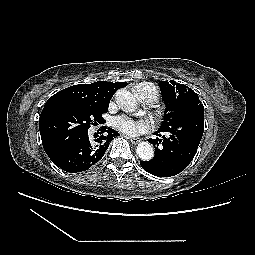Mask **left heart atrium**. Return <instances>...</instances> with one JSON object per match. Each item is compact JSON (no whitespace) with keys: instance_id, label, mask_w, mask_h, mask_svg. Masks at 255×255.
I'll use <instances>...</instances> for the list:
<instances>
[{"instance_id":"39dd6f15","label":"left heart atrium","mask_w":255,"mask_h":255,"mask_svg":"<svg viewBox=\"0 0 255 255\" xmlns=\"http://www.w3.org/2000/svg\"><path fill=\"white\" fill-rule=\"evenodd\" d=\"M113 126L129 135H139L148 132L152 127V122L148 119H133L122 115L114 118Z\"/></svg>"}]
</instances>
